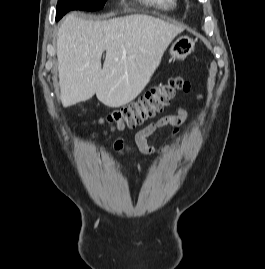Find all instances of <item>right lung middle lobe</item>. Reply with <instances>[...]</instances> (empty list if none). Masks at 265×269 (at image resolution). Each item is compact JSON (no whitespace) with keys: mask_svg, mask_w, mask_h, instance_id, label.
Wrapping results in <instances>:
<instances>
[{"mask_svg":"<svg viewBox=\"0 0 265 269\" xmlns=\"http://www.w3.org/2000/svg\"><path fill=\"white\" fill-rule=\"evenodd\" d=\"M107 0H58L57 20L70 10H99L103 8Z\"/></svg>","mask_w":265,"mask_h":269,"instance_id":"1","label":"right lung middle lobe"}]
</instances>
